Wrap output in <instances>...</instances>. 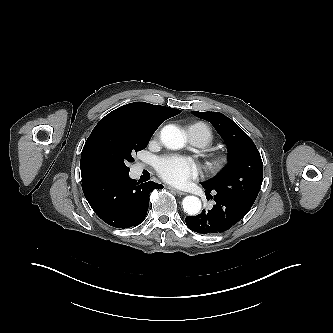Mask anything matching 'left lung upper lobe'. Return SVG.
Wrapping results in <instances>:
<instances>
[{"label":"left lung upper lobe","instance_id":"left-lung-upper-lobe-1","mask_svg":"<svg viewBox=\"0 0 333 333\" xmlns=\"http://www.w3.org/2000/svg\"><path fill=\"white\" fill-rule=\"evenodd\" d=\"M192 114L209 121L229 147L230 164L213 179L201 184L208 189L254 204L263 179V163L251 138L230 118L219 112Z\"/></svg>","mask_w":333,"mask_h":333}]
</instances>
